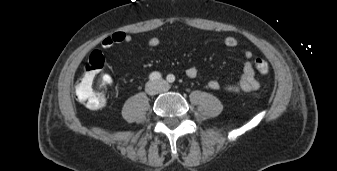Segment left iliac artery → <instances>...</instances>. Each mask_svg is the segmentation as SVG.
Wrapping results in <instances>:
<instances>
[{"label": "left iliac artery", "mask_w": 337, "mask_h": 171, "mask_svg": "<svg viewBox=\"0 0 337 171\" xmlns=\"http://www.w3.org/2000/svg\"><path fill=\"white\" fill-rule=\"evenodd\" d=\"M167 81H168L169 83H173V82L175 81V76H174L173 74H169V75L167 76Z\"/></svg>", "instance_id": "44dca946"}]
</instances>
